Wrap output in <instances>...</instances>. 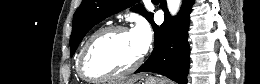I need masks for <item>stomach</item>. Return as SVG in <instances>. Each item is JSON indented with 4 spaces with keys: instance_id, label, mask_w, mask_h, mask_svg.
<instances>
[{
    "instance_id": "0dacf381",
    "label": "stomach",
    "mask_w": 260,
    "mask_h": 84,
    "mask_svg": "<svg viewBox=\"0 0 260 84\" xmlns=\"http://www.w3.org/2000/svg\"><path fill=\"white\" fill-rule=\"evenodd\" d=\"M136 84H169V82H168V80L163 79V78L148 76L144 80L139 81Z\"/></svg>"
}]
</instances>
